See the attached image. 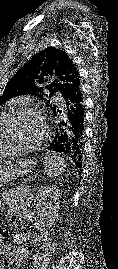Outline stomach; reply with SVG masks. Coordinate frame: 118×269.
I'll use <instances>...</instances> for the list:
<instances>
[{
  "label": "stomach",
  "mask_w": 118,
  "mask_h": 269,
  "mask_svg": "<svg viewBox=\"0 0 118 269\" xmlns=\"http://www.w3.org/2000/svg\"><path fill=\"white\" fill-rule=\"evenodd\" d=\"M35 164L36 163L31 159H23L7 168H0V188L3 186V183L10 182L16 177L24 176L32 172Z\"/></svg>",
  "instance_id": "obj_1"
}]
</instances>
